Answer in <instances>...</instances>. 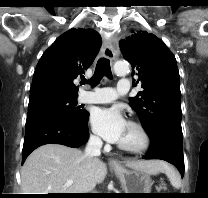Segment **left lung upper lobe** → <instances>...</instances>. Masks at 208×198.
<instances>
[{"instance_id":"5c2ea615","label":"left lung upper lobe","mask_w":208,"mask_h":198,"mask_svg":"<svg viewBox=\"0 0 208 198\" xmlns=\"http://www.w3.org/2000/svg\"><path fill=\"white\" fill-rule=\"evenodd\" d=\"M120 48L132 74L139 76L134 84L143 91L129 100L150 138L164 130L182 137L180 78L174 55L161 39L146 31L122 40Z\"/></svg>"}]
</instances>
